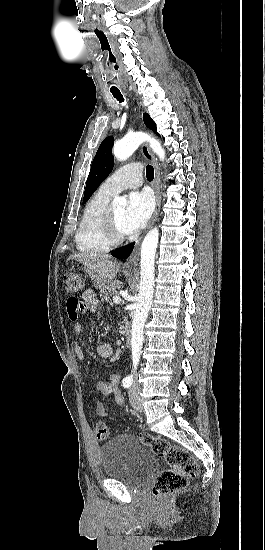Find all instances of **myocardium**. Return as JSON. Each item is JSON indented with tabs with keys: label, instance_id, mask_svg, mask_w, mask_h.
<instances>
[{
	"label": "myocardium",
	"instance_id": "myocardium-1",
	"mask_svg": "<svg viewBox=\"0 0 265 550\" xmlns=\"http://www.w3.org/2000/svg\"><path fill=\"white\" fill-rule=\"evenodd\" d=\"M102 228L105 237L111 245L120 244L126 241L129 237L128 233H123L119 230L111 207H108L106 210Z\"/></svg>",
	"mask_w": 265,
	"mask_h": 550
}]
</instances>
